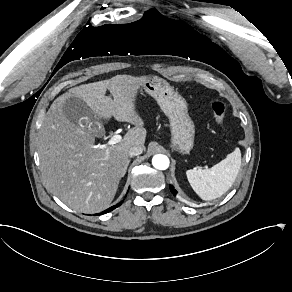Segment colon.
<instances>
[{
    "label": "colon",
    "mask_w": 292,
    "mask_h": 292,
    "mask_svg": "<svg viewBox=\"0 0 292 292\" xmlns=\"http://www.w3.org/2000/svg\"><path fill=\"white\" fill-rule=\"evenodd\" d=\"M210 108L216 126L219 128L220 131L227 132L228 128L225 122L226 116L225 104L219 100H213L210 103Z\"/></svg>",
    "instance_id": "1"
}]
</instances>
